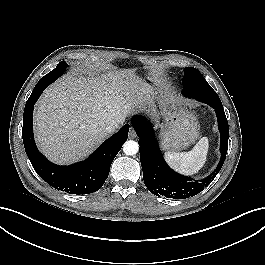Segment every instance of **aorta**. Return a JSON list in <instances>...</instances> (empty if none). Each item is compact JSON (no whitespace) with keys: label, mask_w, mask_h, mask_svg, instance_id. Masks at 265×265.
<instances>
[{"label":"aorta","mask_w":265,"mask_h":265,"mask_svg":"<svg viewBox=\"0 0 265 265\" xmlns=\"http://www.w3.org/2000/svg\"><path fill=\"white\" fill-rule=\"evenodd\" d=\"M123 151L126 155H134L139 151V145L136 141L128 140L123 144Z\"/></svg>","instance_id":"aorta-1"}]
</instances>
